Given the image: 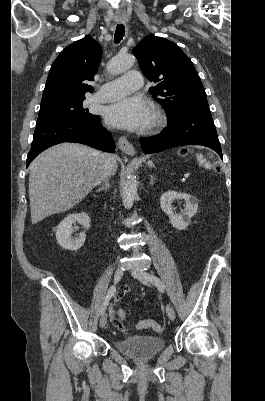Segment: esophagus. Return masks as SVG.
I'll list each match as a JSON object with an SVG mask.
<instances>
[{"label":"esophagus","instance_id":"obj_1","mask_svg":"<svg viewBox=\"0 0 265 401\" xmlns=\"http://www.w3.org/2000/svg\"><path fill=\"white\" fill-rule=\"evenodd\" d=\"M117 21L118 23H123V20H117ZM118 147L127 155L131 156L135 155V148L124 136H121L118 139Z\"/></svg>","mask_w":265,"mask_h":401}]
</instances>
